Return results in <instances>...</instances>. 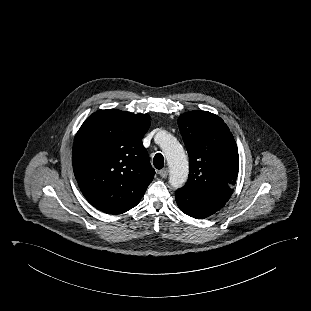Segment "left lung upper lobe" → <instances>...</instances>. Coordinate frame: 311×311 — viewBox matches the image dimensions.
Here are the masks:
<instances>
[{
  "mask_svg": "<svg viewBox=\"0 0 311 311\" xmlns=\"http://www.w3.org/2000/svg\"><path fill=\"white\" fill-rule=\"evenodd\" d=\"M178 126L190 164L183 188L226 203L233 193L239 169L238 149L228 126L206 111L180 115Z\"/></svg>",
  "mask_w": 311,
  "mask_h": 311,
  "instance_id": "obj_1",
  "label": "left lung upper lobe"
}]
</instances>
